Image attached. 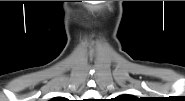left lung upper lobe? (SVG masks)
<instances>
[{
    "label": "left lung upper lobe",
    "mask_w": 185,
    "mask_h": 101,
    "mask_svg": "<svg viewBox=\"0 0 185 101\" xmlns=\"http://www.w3.org/2000/svg\"><path fill=\"white\" fill-rule=\"evenodd\" d=\"M120 97L123 98V99H128V97H130V96L129 95H122Z\"/></svg>",
    "instance_id": "5c2ea615"
}]
</instances>
